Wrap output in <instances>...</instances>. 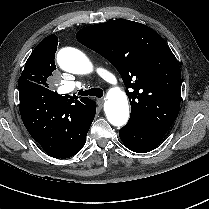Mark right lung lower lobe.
Instances as JSON below:
<instances>
[{
    "instance_id": "obj_1",
    "label": "right lung lower lobe",
    "mask_w": 209,
    "mask_h": 209,
    "mask_svg": "<svg viewBox=\"0 0 209 209\" xmlns=\"http://www.w3.org/2000/svg\"><path fill=\"white\" fill-rule=\"evenodd\" d=\"M19 98L20 114L26 129L48 155L65 159L84 146L87 133L76 138L68 128L54 125L55 119L65 111L54 96H41L27 89L19 91Z\"/></svg>"
}]
</instances>
